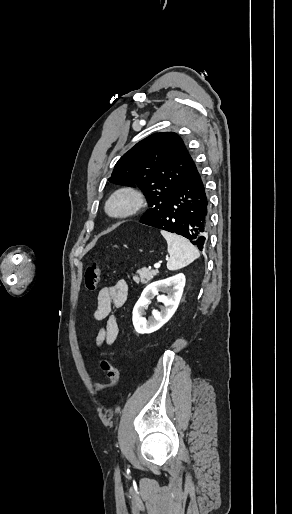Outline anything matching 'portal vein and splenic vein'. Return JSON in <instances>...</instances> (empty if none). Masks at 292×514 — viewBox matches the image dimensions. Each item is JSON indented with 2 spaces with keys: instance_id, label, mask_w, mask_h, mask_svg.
<instances>
[{
  "instance_id": "portal-vein-and-splenic-vein-1",
  "label": "portal vein and splenic vein",
  "mask_w": 292,
  "mask_h": 514,
  "mask_svg": "<svg viewBox=\"0 0 292 514\" xmlns=\"http://www.w3.org/2000/svg\"><path fill=\"white\" fill-rule=\"evenodd\" d=\"M161 264H155L154 268H160Z\"/></svg>"
}]
</instances>
